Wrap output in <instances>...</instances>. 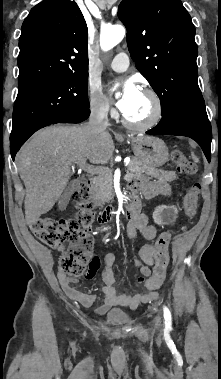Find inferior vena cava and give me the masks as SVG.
I'll list each match as a JSON object with an SVG mask.
<instances>
[{
  "mask_svg": "<svg viewBox=\"0 0 221 379\" xmlns=\"http://www.w3.org/2000/svg\"><path fill=\"white\" fill-rule=\"evenodd\" d=\"M108 127V108L104 105H92L89 122L85 129L92 133L104 132Z\"/></svg>",
  "mask_w": 221,
  "mask_h": 379,
  "instance_id": "1",
  "label": "inferior vena cava"
}]
</instances>
